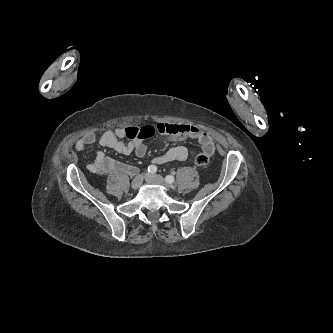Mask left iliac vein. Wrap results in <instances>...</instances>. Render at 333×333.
<instances>
[{
    "label": "left iliac vein",
    "instance_id": "left-iliac-vein-1",
    "mask_svg": "<svg viewBox=\"0 0 333 333\" xmlns=\"http://www.w3.org/2000/svg\"><path fill=\"white\" fill-rule=\"evenodd\" d=\"M145 180L148 183L160 184V185H163L164 187H166L167 189L170 188V186L168 184H166L164 178L160 175H157V174H146L145 175Z\"/></svg>",
    "mask_w": 333,
    "mask_h": 333
}]
</instances>
